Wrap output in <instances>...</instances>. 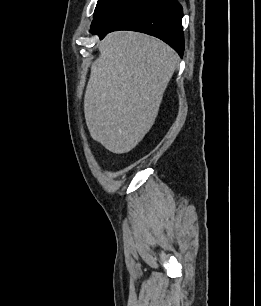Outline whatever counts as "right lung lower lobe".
I'll return each mask as SVG.
<instances>
[{"instance_id": "98d812e1", "label": "right lung lower lobe", "mask_w": 261, "mask_h": 306, "mask_svg": "<svg viewBox=\"0 0 261 306\" xmlns=\"http://www.w3.org/2000/svg\"><path fill=\"white\" fill-rule=\"evenodd\" d=\"M182 16L177 0H112L93 20L91 32L101 39L116 30L143 32L160 38L182 56Z\"/></svg>"}]
</instances>
